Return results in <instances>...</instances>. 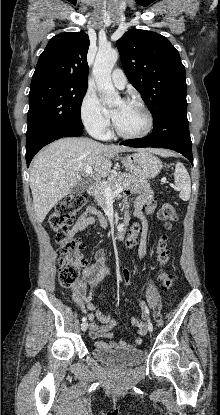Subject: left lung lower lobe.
Returning <instances> with one entry per match:
<instances>
[{
	"instance_id": "left-lung-lower-lobe-1",
	"label": "left lung lower lobe",
	"mask_w": 220,
	"mask_h": 415,
	"mask_svg": "<svg viewBox=\"0 0 220 415\" xmlns=\"http://www.w3.org/2000/svg\"><path fill=\"white\" fill-rule=\"evenodd\" d=\"M152 133L140 139L126 140L121 145L130 147H156L181 153L193 165L192 142L187 119V103L166 107L153 118Z\"/></svg>"
}]
</instances>
